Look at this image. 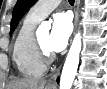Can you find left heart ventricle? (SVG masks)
Here are the masks:
<instances>
[{
    "instance_id": "b2bd125f",
    "label": "left heart ventricle",
    "mask_w": 107,
    "mask_h": 89,
    "mask_svg": "<svg viewBox=\"0 0 107 89\" xmlns=\"http://www.w3.org/2000/svg\"><path fill=\"white\" fill-rule=\"evenodd\" d=\"M39 40L41 44L46 48L49 49L48 42H49V37H50V32H42L38 34Z\"/></svg>"
}]
</instances>
